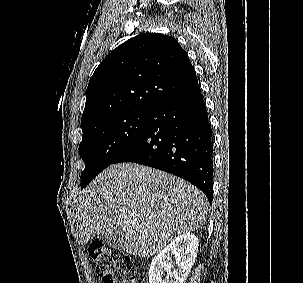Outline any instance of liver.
Segmentation results:
<instances>
[{
	"mask_svg": "<svg viewBox=\"0 0 303 283\" xmlns=\"http://www.w3.org/2000/svg\"><path fill=\"white\" fill-rule=\"evenodd\" d=\"M76 229L80 242L118 235L119 247L150 257L176 236L200 229L207 199L190 183L135 163L109 166L79 193Z\"/></svg>",
	"mask_w": 303,
	"mask_h": 283,
	"instance_id": "1",
	"label": "liver"
}]
</instances>
